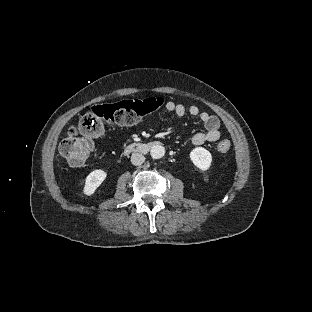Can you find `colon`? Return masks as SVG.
<instances>
[{"mask_svg": "<svg viewBox=\"0 0 312 312\" xmlns=\"http://www.w3.org/2000/svg\"><path fill=\"white\" fill-rule=\"evenodd\" d=\"M164 103L163 97H155L95 105L80 117L77 125L68 130L61 143V152L73 166H81L93 149L91 138L102 136L112 126L135 124ZM216 149L219 153H226L231 149V142L222 140Z\"/></svg>", "mask_w": 312, "mask_h": 312, "instance_id": "obj_1", "label": "colon"}]
</instances>
